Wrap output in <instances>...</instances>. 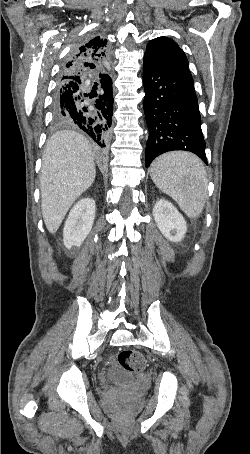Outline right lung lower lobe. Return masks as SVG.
Masks as SVG:
<instances>
[{"label": "right lung lower lobe", "mask_w": 250, "mask_h": 454, "mask_svg": "<svg viewBox=\"0 0 250 454\" xmlns=\"http://www.w3.org/2000/svg\"><path fill=\"white\" fill-rule=\"evenodd\" d=\"M73 51L72 55L75 53ZM71 55V56H72ZM103 92L83 93V81L58 86L54 97L53 115L60 125L75 126L86 132L100 147H105L111 131L113 115L112 79L99 75Z\"/></svg>", "instance_id": "right-lung-lower-lobe-1"}]
</instances>
